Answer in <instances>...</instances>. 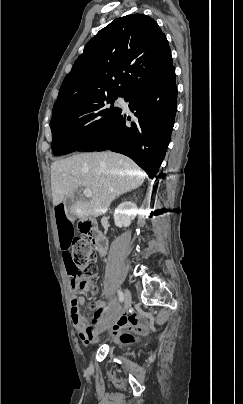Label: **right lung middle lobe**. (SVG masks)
I'll list each match as a JSON object with an SVG mask.
<instances>
[{
	"instance_id": "right-lung-middle-lobe-1",
	"label": "right lung middle lobe",
	"mask_w": 243,
	"mask_h": 404,
	"mask_svg": "<svg viewBox=\"0 0 243 404\" xmlns=\"http://www.w3.org/2000/svg\"><path fill=\"white\" fill-rule=\"evenodd\" d=\"M116 96L102 97L52 117V152L63 155L76 151L96 136L118 114ZM108 103H112L110 107Z\"/></svg>"
}]
</instances>
